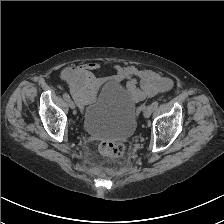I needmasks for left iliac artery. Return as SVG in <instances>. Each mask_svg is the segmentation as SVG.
<instances>
[{"label": "left iliac artery", "mask_w": 224, "mask_h": 224, "mask_svg": "<svg viewBox=\"0 0 224 224\" xmlns=\"http://www.w3.org/2000/svg\"><path fill=\"white\" fill-rule=\"evenodd\" d=\"M159 102L158 101H154L151 106L153 108V110H155L158 107Z\"/></svg>", "instance_id": "obj_1"}]
</instances>
